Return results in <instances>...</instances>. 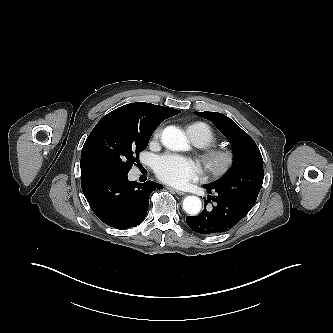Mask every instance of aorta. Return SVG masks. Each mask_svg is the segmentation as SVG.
Here are the masks:
<instances>
[{
    "instance_id": "762f6f07",
    "label": "aorta",
    "mask_w": 333,
    "mask_h": 333,
    "mask_svg": "<svg viewBox=\"0 0 333 333\" xmlns=\"http://www.w3.org/2000/svg\"><path fill=\"white\" fill-rule=\"evenodd\" d=\"M161 141L163 145L173 151L186 150L188 140L184 132L175 126H167L162 131ZM202 202L197 196H187L183 200V209L190 215H196L200 212Z\"/></svg>"
}]
</instances>
